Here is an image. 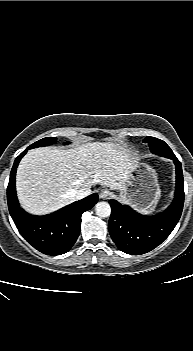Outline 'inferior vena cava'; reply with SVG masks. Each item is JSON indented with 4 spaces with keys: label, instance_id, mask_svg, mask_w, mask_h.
Instances as JSON below:
<instances>
[{
    "label": "inferior vena cava",
    "instance_id": "obj_1",
    "mask_svg": "<svg viewBox=\"0 0 193 351\" xmlns=\"http://www.w3.org/2000/svg\"><path fill=\"white\" fill-rule=\"evenodd\" d=\"M91 194V190L90 188H82L78 191H75L74 193V197L79 200V199H82V198H85L87 197L88 195Z\"/></svg>",
    "mask_w": 193,
    "mask_h": 351
}]
</instances>
